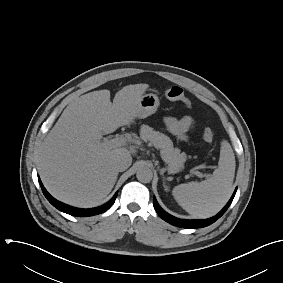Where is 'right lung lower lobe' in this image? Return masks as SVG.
I'll return each instance as SVG.
<instances>
[{
	"instance_id": "98d812e1",
	"label": "right lung lower lobe",
	"mask_w": 283,
	"mask_h": 283,
	"mask_svg": "<svg viewBox=\"0 0 283 283\" xmlns=\"http://www.w3.org/2000/svg\"><path fill=\"white\" fill-rule=\"evenodd\" d=\"M39 183L41 186V189L43 191V194L45 195V197L47 198V200L54 206L56 207L58 210L65 212L67 214L73 215V216H93V215H97L100 213H103L104 211H106L107 209H109L112 204L115 202V199L117 197V193L113 196V198L108 201L106 204L97 207V208H91V209H80V208H75V207H71L69 205H66L62 202L57 201L55 198H53L44 188L41 180L39 179Z\"/></svg>"
}]
</instances>
